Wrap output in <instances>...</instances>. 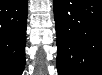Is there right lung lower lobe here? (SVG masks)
<instances>
[{
    "label": "right lung lower lobe",
    "instance_id": "obj_1",
    "mask_svg": "<svg viewBox=\"0 0 102 75\" xmlns=\"http://www.w3.org/2000/svg\"><path fill=\"white\" fill-rule=\"evenodd\" d=\"M27 0H6L2 4L0 61L3 75H21L25 65Z\"/></svg>",
    "mask_w": 102,
    "mask_h": 75
}]
</instances>
